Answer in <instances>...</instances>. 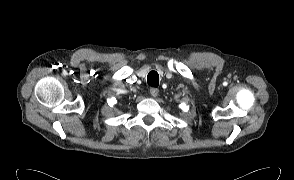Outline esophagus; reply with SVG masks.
<instances>
[{
	"label": "esophagus",
	"instance_id": "esophagus-1",
	"mask_svg": "<svg viewBox=\"0 0 294 180\" xmlns=\"http://www.w3.org/2000/svg\"><path fill=\"white\" fill-rule=\"evenodd\" d=\"M150 94H151V96L152 97H157L158 96V94H159V90L157 89V88H151L150 89Z\"/></svg>",
	"mask_w": 294,
	"mask_h": 180
}]
</instances>
